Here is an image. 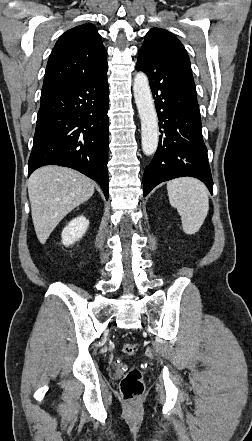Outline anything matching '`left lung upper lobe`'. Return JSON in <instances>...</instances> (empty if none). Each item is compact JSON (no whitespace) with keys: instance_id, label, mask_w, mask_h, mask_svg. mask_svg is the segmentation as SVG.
<instances>
[{"instance_id":"obj_1","label":"left lung upper lobe","mask_w":252,"mask_h":441,"mask_svg":"<svg viewBox=\"0 0 252 441\" xmlns=\"http://www.w3.org/2000/svg\"><path fill=\"white\" fill-rule=\"evenodd\" d=\"M177 52L189 61V57L181 42L164 29H151L145 36V41L139 50L138 57L152 56L159 52Z\"/></svg>"}]
</instances>
